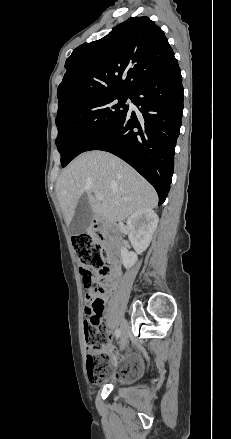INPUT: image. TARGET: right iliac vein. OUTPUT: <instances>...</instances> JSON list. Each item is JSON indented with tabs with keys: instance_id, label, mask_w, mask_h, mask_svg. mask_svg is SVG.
I'll return each instance as SVG.
<instances>
[{
	"instance_id": "63e3f726",
	"label": "right iliac vein",
	"mask_w": 231,
	"mask_h": 439,
	"mask_svg": "<svg viewBox=\"0 0 231 439\" xmlns=\"http://www.w3.org/2000/svg\"><path fill=\"white\" fill-rule=\"evenodd\" d=\"M128 335H129V328L126 322H123L121 324V342H120V348L121 350L124 349L128 342Z\"/></svg>"
}]
</instances>
